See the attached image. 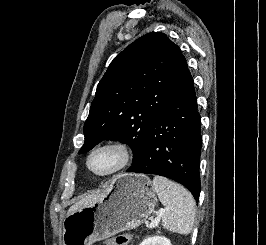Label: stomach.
Masks as SVG:
<instances>
[{
	"label": "stomach",
	"instance_id": "0dacf381",
	"mask_svg": "<svg viewBox=\"0 0 266 245\" xmlns=\"http://www.w3.org/2000/svg\"><path fill=\"white\" fill-rule=\"evenodd\" d=\"M105 199L75 211L63 221V245H92L140 227L154 213L157 197L146 175L112 177Z\"/></svg>",
	"mask_w": 266,
	"mask_h": 245
}]
</instances>
